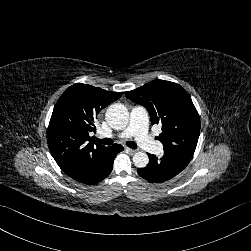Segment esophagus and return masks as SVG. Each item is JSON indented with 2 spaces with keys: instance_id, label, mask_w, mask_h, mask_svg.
Listing matches in <instances>:
<instances>
[{
  "instance_id": "obj_1",
  "label": "esophagus",
  "mask_w": 251,
  "mask_h": 251,
  "mask_svg": "<svg viewBox=\"0 0 251 251\" xmlns=\"http://www.w3.org/2000/svg\"><path fill=\"white\" fill-rule=\"evenodd\" d=\"M128 151L130 154H135L136 152H138L137 149H131V148H128Z\"/></svg>"
}]
</instances>
